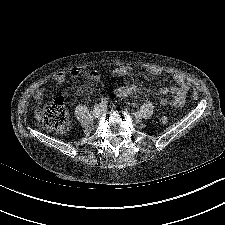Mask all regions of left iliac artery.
I'll return each instance as SVG.
<instances>
[{
    "label": "left iliac artery",
    "instance_id": "1",
    "mask_svg": "<svg viewBox=\"0 0 225 225\" xmlns=\"http://www.w3.org/2000/svg\"><path fill=\"white\" fill-rule=\"evenodd\" d=\"M111 106L112 107H116L117 106V101L115 100V101H111Z\"/></svg>",
    "mask_w": 225,
    "mask_h": 225
}]
</instances>
